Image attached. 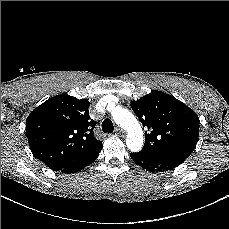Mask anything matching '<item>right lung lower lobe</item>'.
I'll return each instance as SVG.
<instances>
[{"mask_svg":"<svg viewBox=\"0 0 229 229\" xmlns=\"http://www.w3.org/2000/svg\"><path fill=\"white\" fill-rule=\"evenodd\" d=\"M101 149H102V146L91 154H88L77 160H74L73 162L65 166H62L56 169H52V170L59 171L62 173H67V174L79 172L80 170L84 169L89 164H91L98 157Z\"/></svg>","mask_w":229,"mask_h":229,"instance_id":"98d812e1","label":"right lung lower lobe"}]
</instances>
